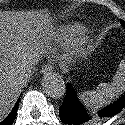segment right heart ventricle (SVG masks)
<instances>
[{"instance_id": "e07e8e85", "label": "right heart ventricle", "mask_w": 125, "mask_h": 125, "mask_svg": "<svg viewBox=\"0 0 125 125\" xmlns=\"http://www.w3.org/2000/svg\"><path fill=\"white\" fill-rule=\"evenodd\" d=\"M83 30V27L79 25L70 26L57 35L56 41L61 44L74 42L81 36Z\"/></svg>"}]
</instances>
